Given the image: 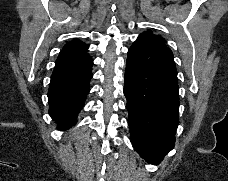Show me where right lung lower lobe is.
<instances>
[{"instance_id": "98d812e1", "label": "right lung lower lobe", "mask_w": 228, "mask_h": 181, "mask_svg": "<svg viewBox=\"0 0 228 181\" xmlns=\"http://www.w3.org/2000/svg\"><path fill=\"white\" fill-rule=\"evenodd\" d=\"M88 46L59 56L51 76L48 90L49 114L58 129L65 130L76 123L77 114L83 107L92 78V59Z\"/></svg>"}]
</instances>
